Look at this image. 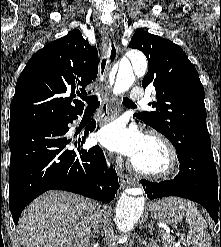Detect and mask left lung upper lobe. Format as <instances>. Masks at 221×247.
Segmentation results:
<instances>
[{"instance_id": "obj_1", "label": "left lung upper lobe", "mask_w": 221, "mask_h": 247, "mask_svg": "<svg viewBox=\"0 0 221 247\" xmlns=\"http://www.w3.org/2000/svg\"><path fill=\"white\" fill-rule=\"evenodd\" d=\"M129 47L147 57L149 69L142 86L153 85L157 98L149 104L155 111L142 112L137 118L167 137L178 152L209 136L204 88L181 47L142 29L134 33Z\"/></svg>"}]
</instances>
